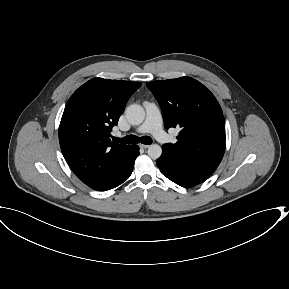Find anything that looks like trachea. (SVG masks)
Wrapping results in <instances>:
<instances>
[{"mask_svg": "<svg viewBox=\"0 0 289 289\" xmlns=\"http://www.w3.org/2000/svg\"><path fill=\"white\" fill-rule=\"evenodd\" d=\"M113 140L116 143H125V144H136V143L141 142L142 144L148 145L152 143V139L149 136H142L139 138L138 136H135V135H128L124 138L114 137Z\"/></svg>", "mask_w": 289, "mask_h": 289, "instance_id": "3493384b", "label": "trachea"}]
</instances>
